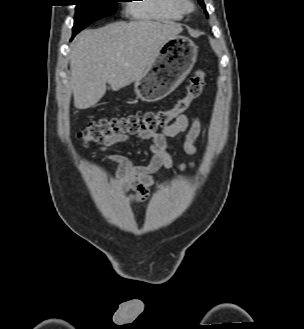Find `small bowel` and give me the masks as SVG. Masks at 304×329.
<instances>
[{"label":"small bowel","instance_id":"c3829d8e","mask_svg":"<svg viewBox=\"0 0 304 329\" xmlns=\"http://www.w3.org/2000/svg\"><path fill=\"white\" fill-rule=\"evenodd\" d=\"M185 132L183 143L184 151L189 155L196 153L195 141L201 133V121L199 118L190 120L186 115H180L174 121L163 128L160 132H155L150 136L139 135L140 139L149 141V149L152 154L148 164L137 165L124 155L116 154L107 157L118 165L115 181L122 193L127 194V199L131 204H143L150 196L151 188L154 185L152 174L160 168H180L182 170L192 168L195 162L176 164L169 151L167 139ZM127 135H113L104 139L100 146V151L105 152L110 146L128 141ZM132 190L134 193L129 194Z\"/></svg>","mask_w":304,"mask_h":329}]
</instances>
